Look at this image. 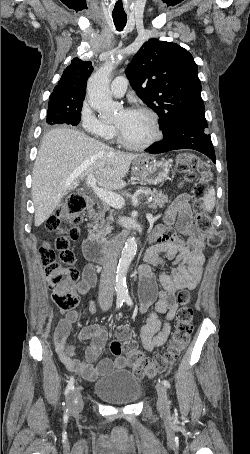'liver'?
Listing matches in <instances>:
<instances>
[{"mask_svg": "<svg viewBox=\"0 0 250 454\" xmlns=\"http://www.w3.org/2000/svg\"><path fill=\"white\" fill-rule=\"evenodd\" d=\"M142 155L115 151L69 128L49 131L43 138L32 173L35 226L45 222L67 193L89 175L107 191L126 186L131 163Z\"/></svg>", "mask_w": 250, "mask_h": 454, "instance_id": "6515ba94", "label": "liver"}]
</instances>
